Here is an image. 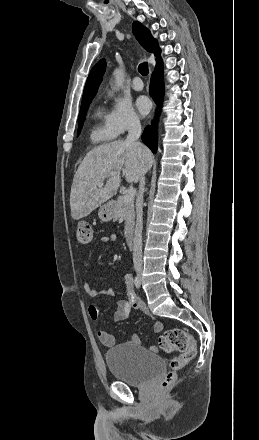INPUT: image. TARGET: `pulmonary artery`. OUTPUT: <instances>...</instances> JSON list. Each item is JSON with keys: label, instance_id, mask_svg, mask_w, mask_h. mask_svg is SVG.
Listing matches in <instances>:
<instances>
[{"label": "pulmonary artery", "instance_id": "pulmonary-artery-1", "mask_svg": "<svg viewBox=\"0 0 259 440\" xmlns=\"http://www.w3.org/2000/svg\"><path fill=\"white\" fill-rule=\"evenodd\" d=\"M143 87H144V85H143L141 78L138 76L134 77L133 81H132V88L136 91H140L143 89Z\"/></svg>", "mask_w": 259, "mask_h": 440}]
</instances>
